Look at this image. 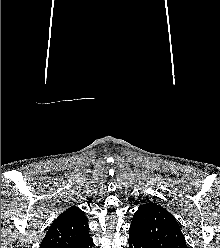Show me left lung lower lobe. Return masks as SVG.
<instances>
[{
    "label": "left lung lower lobe",
    "instance_id": "obj_1",
    "mask_svg": "<svg viewBox=\"0 0 220 248\" xmlns=\"http://www.w3.org/2000/svg\"><path fill=\"white\" fill-rule=\"evenodd\" d=\"M129 248H153L132 230L129 232Z\"/></svg>",
    "mask_w": 220,
    "mask_h": 248
}]
</instances>
